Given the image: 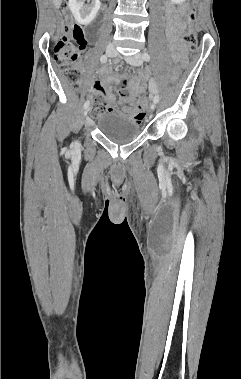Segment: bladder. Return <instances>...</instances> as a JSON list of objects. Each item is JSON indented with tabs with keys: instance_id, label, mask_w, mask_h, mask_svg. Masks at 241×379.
Here are the masks:
<instances>
[{
	"instance_id": "31cf9c89",
	"label": "bladder",
	"mask_w": 241,
	"mask_h": 379,
	"mask_svg": "<svg viewBox=\"0 0 241 379\" xmlns=\"http://www.w3.org/2000/svg\"><path fill=\"white\" fill-rule=\"evenodd\" d=\"M97 126L105 138L117 144L130 143L136 140L141 132L138 120L116 111L101 114Z\"/></svg>"
}]
</instances>
